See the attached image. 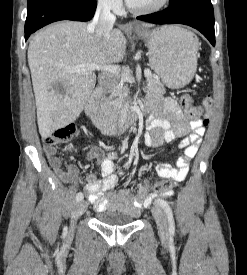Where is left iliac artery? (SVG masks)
Here are the masks:
<instances>
[{"mask_svg": "<svg viewBox=\"0 0 247 275\" xmlns=\"http://www.w3.org/2000/svg\"><path fill=\"white\" fill-rule=\"evenodd\" d=\"M156 203L166 213L167 218H168L169 233H170V235H174V233H175V224H174L173 212H172V209H171L170 205L168 204L167 201H165L163 199H160V198L156 200Z\"/></svg>", "mask_w": 247, "mask_h": 275, "instance_id": "left-iliac-artery-1", "label": "left iliac artery"}]
</instances>
